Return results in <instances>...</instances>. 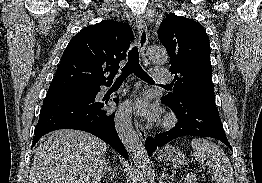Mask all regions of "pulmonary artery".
<instances>
[{
	"mask_svg": "<svg viewBox=\"0 0 262 183\" xmlns=\"http://www.w3.org/2000/svg\"><path fill=\"white\" fill-rule=\"evenodd\" d=\"M152 73H153L154 80L157 82H168L169 81L168 76L166 74L160 73V70L158 69H154Z\"/></svg>",
	"mask_w": 262,
	"mask_h": 183,
	"instance_id": "1",
	"label": "pulmonary artery"
}]
</instances>
